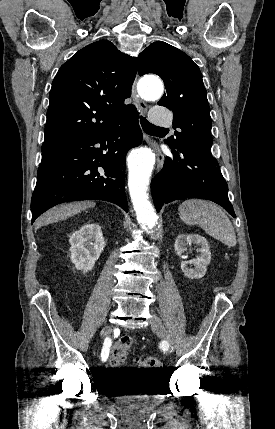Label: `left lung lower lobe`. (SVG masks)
Here are the masks:
<instances>
[{"instance_id": "left-lung-lower-lobe-1", "label": "left lung lower lobe", "mask_w": 275, "mask_h": 429, "mask_svg": "<svg viewBox=\"0 0 275 429\" xmlns=\"http://www.w3.org/2000/svg\"><path fill=\"white\" fill-rule=\"evenodd\" d=\"M171 148L173 157H166L163 169L151 182L157 211L174 200L201 198L221 205L235 218L227 183L210 149L196 144Z\"/></svg>"}]
</instances>
